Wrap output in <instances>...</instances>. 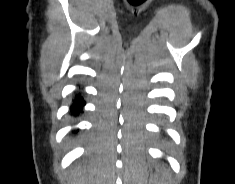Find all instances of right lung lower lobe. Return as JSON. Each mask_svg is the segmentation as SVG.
I'll return each mask as SVG.
<instances>
[{
    "label": "right lung lower lobe",
    "instance_id": "1",
    "mask_svg": "<svg viewBox=\"0 0 235 184\" xmlns=\"http://www.w3.org/2000/svg\"><path fill=\"white\" fill-rule=\"evenodd\" d=\"M84 105H85V101L83 97H81L80 94H77L76 99L73 101V104L71 106V109H72L71 113L74 115H79Z\"/></svg>",
    "mask_w": 235,
    "mask_h": 184
}]
</instances>
